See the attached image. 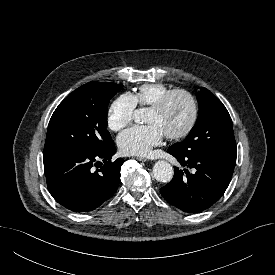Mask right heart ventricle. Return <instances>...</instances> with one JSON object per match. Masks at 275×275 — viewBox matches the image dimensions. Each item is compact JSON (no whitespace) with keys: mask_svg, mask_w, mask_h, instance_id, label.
Wrapping results in <instances>:
<instances>
[{"mask_svg":"<svg viewBox=\"0 0 275 275\" xmlns=\"http://www.w3.org/2000/svg\"><path fill=\"white\" fill-rule=\"evenodd\" d=\"M171 89L162 83H146L139 86L133 94V100L138 106H151Z\"/></svg>","mask_w":275,"mask_h":275,"instance_id":"right-heart-ventricle-1","label":"right heart ventricle"}]
</instances>
